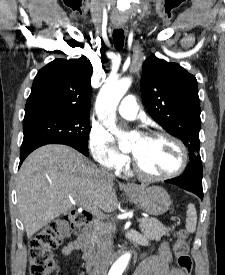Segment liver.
I'll return each mask as SVG.
<instances>
[{
	"label": "liver",
	"mask_w": 225,
	"mask_h": 275,
	"mask_svg": "<svg viewBox=\"0 0 225 275\" xmlns=\"http://www.w3.org/2000/svg\"><path fill=\"white\" fill-rule=\"evenodd\" d=\"M18 209L28 239L61 214L71 202L88 200L105 212L117 208L114 183L75 149L49 144L23 162L17 180Z\"/></svg>",
	"instance_id": "6515ba94"
}]
</instances>
